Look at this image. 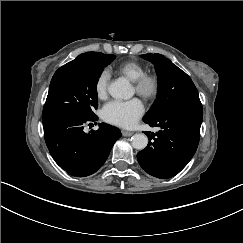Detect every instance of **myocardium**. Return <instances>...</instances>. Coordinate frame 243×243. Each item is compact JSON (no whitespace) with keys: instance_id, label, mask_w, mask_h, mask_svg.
Segmentation results:
<instances>
[{"instance_id":"f54148a6","label":"myocardium","mask_w":243,"mask_h":243,"mask_svg":"<svg viewBox=\"0 0 243 243\" xmlns=\"http://www.w3.org/2000/svg\"><path fill=\"white\" fill-rule=\"evenodd\" d=\"M134 89L144 99L154 100L161 93L162 79L158 73L146 71L134 82Z\"/></svg>"}]
</instances>
